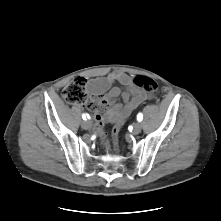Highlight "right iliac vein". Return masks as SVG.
Returning <instances> with one entry per match:
<instances>
[{
	"label": "right iliac vein",
	"mask_w": 221,
	"mask_h": 221,
	"mask_svg": "<svg viewBox=\"0 0 221 221\" xmlns=\"http://www.w3.org/2000/svg\"><path fill=\"white\" fill-rule=\"evenodd\" d=\"M81 126L83 129L88 130L92 127V123L90 120H85L82 122Z\"/></svg>",
	"instance_id": "right-iliac-vein-1"
}]
</instances>
